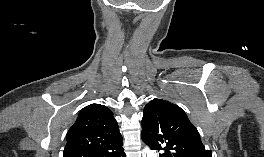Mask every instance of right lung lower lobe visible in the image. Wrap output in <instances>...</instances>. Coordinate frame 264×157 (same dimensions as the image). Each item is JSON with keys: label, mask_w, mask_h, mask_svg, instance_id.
Listing matches in <instances>:
<instances>
[{"label": "right lung lower lobe", "mask_w": 264, "mask_h": 157, "mask_svg": "<svg viewBox=\"0 0 264 157\" xmlns=\"http://www.w3.org/2000/svg\"><path fill=\"white\" fill-rule=\"evenodd\" d=\"M102 157H125V154L123 152V148L122 146H120L119 148H117L116 150L109 152L107 154H105Z\"/></svg>", "instance_id": "right-lung-lower-lobe-1"}]
</instances>
